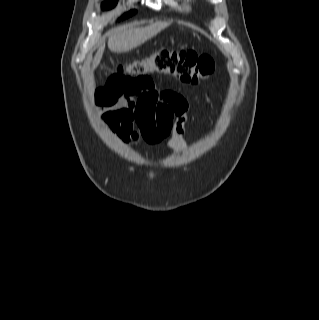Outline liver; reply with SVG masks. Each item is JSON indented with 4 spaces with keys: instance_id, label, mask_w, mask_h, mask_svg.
I'll use <instances>...</instances> for the list:
<instances>
[{
    "instance_id": "liver-1",
    "label": "liver",
    "mask_w": 319,
    "mask_h": 320,
    "mask_svg": "<svg viewBox=\"0 0 319 320\" xmlns=\"http://www.w3.org/2000/svg\"><path fill=\"white\" fill-rule=\"evenodd\" d=\"M169 26L167 22H159L146 27H124L114 31L108 38V48L115 53L128 52L157 35ZM105 45L101 44L93 59L95 69L103 56Z\"/></svg>"
}]
</instances>
